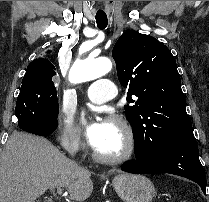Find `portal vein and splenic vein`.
<instances>
[{
  "label": "portal vein and splenic vein",
  "mask_w": 209,
  "mask_h": 202,
  "mask_svg": "<svg viewBox=\"0 0 209 202\" xmlns=\"http://www.w3.org/2000/svg\"><path fill=\"white\" fill-rule=\"evenodd\" d=\"M57 193H58L59 195L62 194V188H61V186L57 187Z\"/></svg>",
  "instance_id": "obj_1"
}]
</instances>
